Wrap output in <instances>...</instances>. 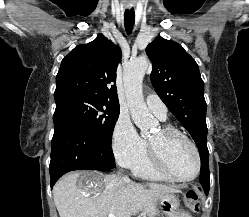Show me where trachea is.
Wrapping results in <instances>:
<instances>
[{"mask_svg": "<svg viewBox=\"0 0 249 217\" xmlns=\"http://www.w3.org/2000/svg\"><path fill=\"white\" fill-rule=\"evenodd\" d=\"M135 21V13L134 9H127L124 14V25L127 34H131L134 26Z\"/></svg>", "mask_w": 249, "mask_h": 217, "instance_id": "obj_1", "label": "trachea"}]
</instances>
